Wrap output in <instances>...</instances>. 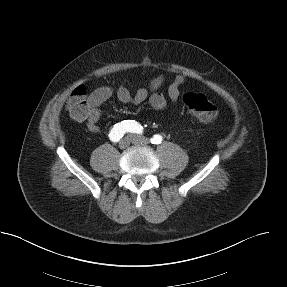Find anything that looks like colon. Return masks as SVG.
<instances>
[{
	"label": "colon",
	"instance_id": "colon-1",
	"mask_svg": "<svg viewBox=\"0 0 287 287\" xmlns=\"http://www.w3.org/2000/svg\"><path fill=\"white\" fill-rule=\"evenodd\" d=\"M183 103L191 115L204 123H212L218 118L217 107L203 94L188 92L183 96ZM67 110L73 119L86 120L90 106L84 87H78L72 92L67 102Z\"/></svg>",
	"mask_w": 287,
	"mask_h": 287
}]
</instances>
